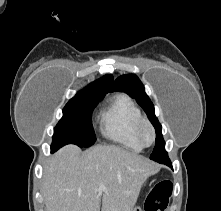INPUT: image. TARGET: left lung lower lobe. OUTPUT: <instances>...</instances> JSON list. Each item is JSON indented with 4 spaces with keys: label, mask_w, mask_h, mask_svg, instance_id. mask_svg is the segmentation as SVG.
Segmentation results:
<instances>
[{
    "label": "left lung lower lobe",
    "mask_w": 221,
    "mask_h": 211,
    "mask_svg": "<svg viewBox=\"0 0 221 211\" xmlns=\"http://www.w3.org/2000/svg\"><path fill=\"white\" fill-rule=\"evenodd\" d=\"M160 163H162V164H166V165H168V166L172 167L171 162H170V160H169V159L162 160Z\"/></svg>",
    "instance_id": "obj_1"
}]
</instances>
